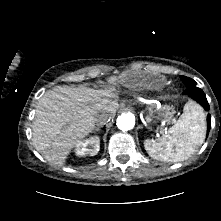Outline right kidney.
Instances as JSON below:
<instances>
[{"instance_id": "obj_1", "label": "right kidney", "mask_w": 221, "mask_h": 221, "mask_svg": "<svg viewBox=\"0 0 221 221\" xmlns=\"http://www.w3.org/2000/svg\"><path fill=\"white\" fill-rule=\"evenodd\" d=\"M100 149L99 137H91L76 145L75 153L77 156H94Z\"/></svg>"}]
</instances>
